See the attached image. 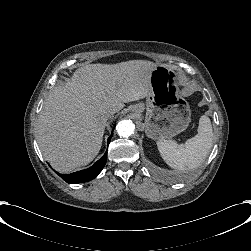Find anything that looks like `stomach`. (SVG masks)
<instances>
[{
	"instance_id": "1",
	"label": "stomach",
	"mask_w": 251,
	"mask_h": 251,
	"mask_svg": "<svg viewBox=\"0 0 251 251\" xmlns=\"http://www.w3.org/2000/svg\"><path fill=\"white\" fill-rule=\"evenodd\" d=\"M151 94L144 102L130 108L131 114L139 118L145 110L144 131L154 140H167L189 126L191 108L182 96L178 73L164 65H155L150 70Z\"/></svg>"
}]
</instances>
